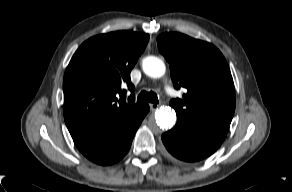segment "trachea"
Returning a JSON list of instances; mask_svg holds the SVG:
<instances>
[{
	"mask_svg": "<svg viewBox=\"0 0 292 192\" xmlns=\"http://www.w3.org/2000/svg\"><path fill=\"white\" fill-rule=\"evenodd\" d=\"M137 102L138 103H145V102L158 103V97H157V94L152 91L151 92L141 91V93L138 95Z\"/></svg>",
	"mask_w": 292,
	"mask_h": 192,
	"instance_id": "3493384b",
	"label": "trachea"
}]
</instances>
